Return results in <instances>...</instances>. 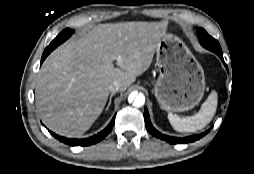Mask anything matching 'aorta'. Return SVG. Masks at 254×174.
<instances>
[{"label": "aorta", "instance_id": "762f6f07", "mask_svg": "<svg viewBox=\"0 0 254 174\" xmlns=\"http://www.w3.org/2000/svg\"><path fill=\"white\" fill-rule=\"evenodd\" d=\"M128 101L134 107H142L145 103V96L142 93L133 92L129 95Z\"/></svg>", "mask_w": 254, "mask_h": 174}]
</instances>
